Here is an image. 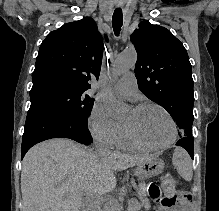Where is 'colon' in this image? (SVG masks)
<instances>
[{"mask_svg":"<svg viewBox=\"0 0 219 211\" xmlns=\"http://www.w3.org/2000/svg\"><path fill=\"white\" fill-rule=\"evenodd\" d=\"M161 187L169 200L175 201V187L177 181L170 174H165L160 178ZM189 194L187 192L181 193V198L187 197Z\"/></svg>","mask_w":219,"mask_h":211,"instance_id":"colon-1","label":"colon"}]
</instances>
